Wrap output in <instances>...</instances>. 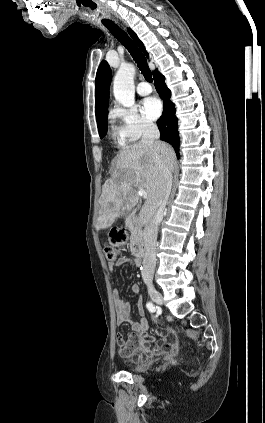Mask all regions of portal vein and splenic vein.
<instances>
[{
  "label": "portal vein and splenic vein",
  "mask_w": 265,
  "mask_h": 423,
  "mask_svg": "<svg viewBox=\"0 0 265 423\" xmlns=\"http://www.w3.org/2000/svg\"><path fill=\"white\" fill-rule=\"evenodd\" d=\"M138 195H139L141 198H143V199H146V198H147V193H146V191H145V190H143L142 188H139V190H138Z\"/></svg>",
  "instance_id": "portal-vein-and-splenic-vein-1"
}]
</instances>
